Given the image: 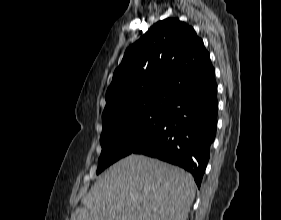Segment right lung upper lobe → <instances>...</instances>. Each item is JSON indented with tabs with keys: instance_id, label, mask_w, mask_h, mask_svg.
Masks as SVG:
<instances>
[{
	"instance_id": "cb5924a9",
	"label": "right lung upper lobe",
	"mask_w": 281,
	"mask_h": 220,
	"mask_svg": "<svg viewBox=\"0 0 281 220\" xmlns=\"http://www.w3.org/2000/svg\"><path fill=\"white\" fill-rule=\"evenodd\" d=\"M214 83L209 53L194 29L175 18L159 21L125 51L106 92L103 127L129 114L168 110Z\"/></svg>"
}]
</instances>
